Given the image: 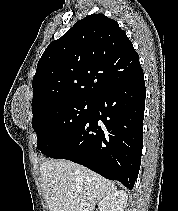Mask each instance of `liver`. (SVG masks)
Returning a JSON list of instances; mask_svg holds the SVG:
<instances>
[{
	"instance_id": "6515ba94",
	"label": "liver",
	"mask_w": 178,
	"mask_h": 211,
	"mask_svg": "<svg viewBox=\"0 0 178 211\" xmlns=\"http://www.w3.org/2000/svg\"><path fill=\"white\" fill-rule=\"evenodd\" d=\"M40 177L49 211H93L117 189L113 182L67 160L42 162Z\"/></svg>"
}]
</instances>
